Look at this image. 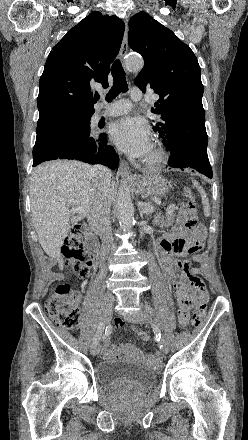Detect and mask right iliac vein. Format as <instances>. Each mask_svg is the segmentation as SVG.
Masks as SVG:
<instances>
[{"label": "right iliac vein", "mask_w": 248, "mask_h": 440, "mask_svg": "<svg viewBox=\"0 0 248 440\" xmlns=\"http://www.w3.org/2000/svg\"><path fill=\"white\" fill-rule=\"evenodd\" d=\"M114 306V299L111 296H106L103 301V307H102V317L105 323H108L112 316ZM100 346L98 343L92 344L90 348V353L95 356L99 353Z\"/></svg>", "instance_id": "right-iliac-vein-1"}]
</instances>
